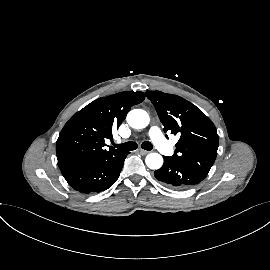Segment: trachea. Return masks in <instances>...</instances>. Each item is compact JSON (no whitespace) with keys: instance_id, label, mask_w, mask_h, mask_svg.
Here are the masks:
<instances>
[{"instance_id":"obj_1","label":"trachea","mask_w":270,"mask_h":270,"mask_svg":"<svg viewBox=\"0 0 270 270\" xmlns=\"http://www.w3.org/2000/svg\"><path fill=\"white\" fill-rule=\"evenodd\" d=\"M114 146L120 150H124V151H132L135 150L137 148V144L135 142H126L123 144H114ZM141 147L145 150H152L153 149V145L148 142L145 141L142 143Z\"/></svg>"}]
</instances>
